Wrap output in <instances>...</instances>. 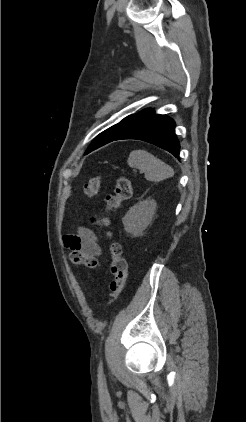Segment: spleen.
I'll list each match as a JSON object with an SVG mask.
<instances>
[{
	"label": "spleen",
	"mask_w": 246,
	"mask_h": 422,
	"mask_svg": "<svg viewBox=\"0 0 246 422\" xmlns=\"http://www.w3.org/2000/svg\"><path fill=\"white\" fill-rule=\"evenodd\" d=\"M127 163L138 168L148 181L159 182L174 175L171 166L145 150H134L129 154Z\"/></svg>",
	"instance_id": "3e777b00"
}]
</instances>
